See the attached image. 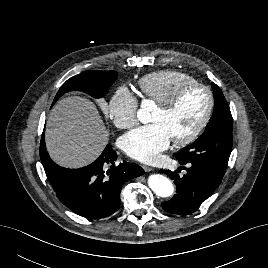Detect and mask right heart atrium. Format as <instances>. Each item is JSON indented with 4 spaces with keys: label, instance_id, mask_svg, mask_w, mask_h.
Masks as SVG:
<instances>
[{
    "label": "right heart atrium",
    "instance_id": "obj_1",
    "mask_svg": "<svg viewBox=\"0 0 268 268\" xmlns=\"http://www.w3.org/2000/svg\"><path fill=\"white\" fill-rule=\"evenodd\" d=\"M139 101L127 87L120 86L108 103V116L119 128H131L137 123Z\"/></svg>",
    "mask_w": 268,
    "mask_h": 268
}]
</instances>
